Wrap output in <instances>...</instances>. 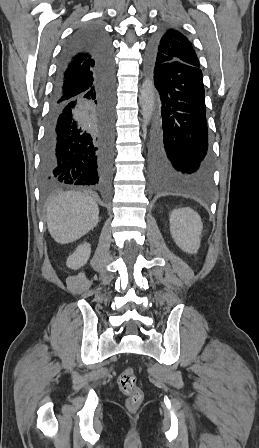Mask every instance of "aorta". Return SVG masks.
<instances>
[{
    "label": "aorta",
    "instance_id": "obj_1",
    "mask_svg": "<svg viewBox=\"0 0 259 448\" xmlns=\"http://www.w3.org/2000/svg\"><path fill=\"white\" fill-rule=\"evenodd\" d=\"M140 93L141 95L139 101L141 106V114L143 116L144 125H148L155 108V88L153 82L149 79H145Z\"/></svg>",
    "mask_w": 259,
    "mask_h": 448
}]
</instances>
